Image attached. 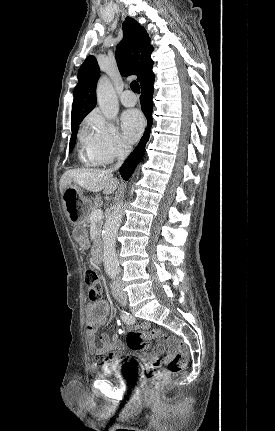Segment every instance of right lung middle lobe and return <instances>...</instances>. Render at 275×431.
Instances as JSON below:
<instances>
[{
	"label": "right lung middle lobe",
	"instance_id": "dd1d6c3e",
	"mask_svg": "<svg viewBox=\"0 0 275 431\" xmlns=\"http://www.w3.org/2000/svg\"><path fill=\"white\" fill-rule=\"evenodd\" d=\"M78 126L79 125H77L75 127H72V136H71V139H70L69 152H71L73 150V148H74V145H75V142H76V135H77V132H78Z\"/></svg>",
	"mask_w": 275,
	"mask_h": 431
}]
</instances>
